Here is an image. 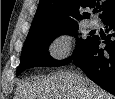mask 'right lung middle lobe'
<instances>
[{
    "instance_id": "right-lung-middle-lobe-1",
    "label": "right lung middle lobe",
    "mask_w": 115,
    "mask_h": 99,
    "mask_svg": "<svg viewBox=\"0 0 115 99\" xmlns=\"http://www.w3.org/2000/svg\"><path fill=\"white\" fill-rule=\"evenodd\" d=\"M61 34H70L76 36L77 25L74 24L49 33L27 37L22 49L21 61L17 68L16 75L32 67L62 66L68 64L83 51L86 44L92 38V35L90 34L86 39L78 40L74 54L66 60L58 61L49 56L48 46L57 36Z\"/></svg>"
}]
</instances>
